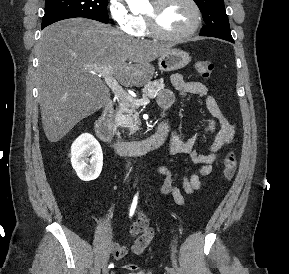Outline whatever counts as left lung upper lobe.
<instances>
[{
    "mask_svg": "<svg viewBox=\"0 0 289 274\" xmlns=\"http://www.w3.org/2000/svg\"><path fill=\"white\" fill-rule=\"evenodd\" d=\"M206 25L202 28L200 35L217 37L221 39H233L230 25L226 15L224 0H194Z\"/></svg>",
    "mask_w": 289,
    "mask_h": 274,
    "instance_id": "left-lung-upper-lobe-1",
    "label": "left lung upper lobe"
}]
</instances>
